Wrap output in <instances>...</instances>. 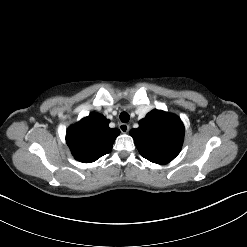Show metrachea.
Instances as JSON below:
<instances>
[{
	"label": "trachea",
	"instance_id": "3493384b",
	"mask_svg": "<svg viewBox=\"0 0 247 247\" xmlns=\"http://www.w3.org/2000/svg\"><path fill=\"white\" fill-rule=\"evenodd\" d=\"M130 119V116L127 112H122L120 114V120L123 122V123H127Z\"/></svg>",
	"mask_w": 247,
	"mask_h": 247
}]
</instances>
